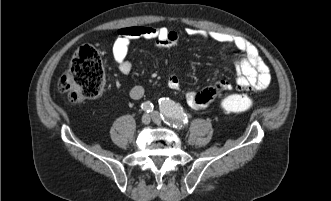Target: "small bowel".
<instances>
[{"label": "small bowel", "mask_w": 331, "mask_h": 201, "mask_svg": "<svg viewBox=\"0 0 331 201\" xmlns=\"http://www.w3.org/2000/svg\"><path fill=\"white\" fill-rule=\"evenodd\" d=\"M190 36H199L234 48L236 78L234 84L227 80H219L208 84L199 91L188 90L185 92L188 105L195 109H203L217 95L234 87L239 91H263L268 88L271 75L268 66L259 55L256 47L246 39L217 31L187 28ZM136 39H152L160 48H169L177 44L179 35L166 27L155 28L152 26H131L118 31L112 46V57L117 63L121 73L129 74L132 63L128 59L130 43ZM168 86L175 90L181 89L177 71L167 75ZM144 89L140 85H133L129 89V96L133 100L141 99Z\"/></svg>", "instance_id": "1"}]
</instances>
